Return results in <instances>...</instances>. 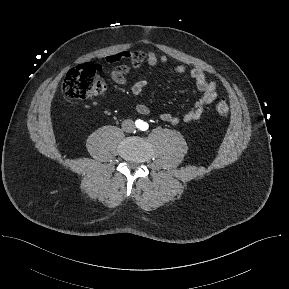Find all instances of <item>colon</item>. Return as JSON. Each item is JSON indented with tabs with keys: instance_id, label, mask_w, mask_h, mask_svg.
I'll list each match as a JSON object with an SVG mask.
<instances>
[{
	"instance_id": "5ec220e1",
	"label": "colon",
	"mask_w": 289,
	"mask_h": 289,
	"mask_svg": "<svg viewBox=\"0 0 289 289\" xmlns=\"http://www.w3.org/2000/svg\"><path fill=\"white\" fill-rule=\"evenodd\" d=\"M101 65L84 63L71 69L63 80L62 92L70 99H87L99 95L105 90V83L100 76ZM216 112L227 116L229 107L224 101L217 102Z\"/></svg>"
}]
</instances>
